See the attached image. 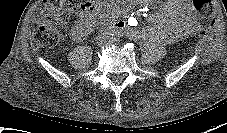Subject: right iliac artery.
<instances>
[{
  "mask_svg": "<svg viewBox=\"0 0 227 133\" xmlns=\"http://www.w3.org/2000/svg\"><path fill=\"white\" fill-rule=\"evenodd\" d=\"M105 34L109 35L108 37L112 36V39H113V36H115L114 32H105Z\"/></svg>",
  "mask_w": 227,
  "mask_h": 133,
  "instance_id": "right-iliac-artery-1",
  "label": "right iliac artery"
}]
</instances>
